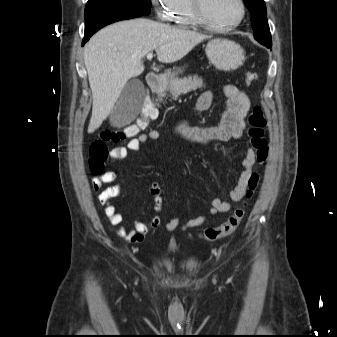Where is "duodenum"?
I'll use <instances>...</instances> for the list:
<instances>
[{"instance_id":"duodenum-1","label":"duodenum","mask_w":337,"mask_h":337,"mask_svg":"<svg viewBox=\"0 0 337 337\" xmlns=\"http://www.w3.org/2000/svg\"><path fill=\"white\" fill-rule=\"evenodd\" d=\"M147 84L152 90L158 89L162 84L161 76L156 72H150L147 75Z\"/></svg>"}]
</instances>
